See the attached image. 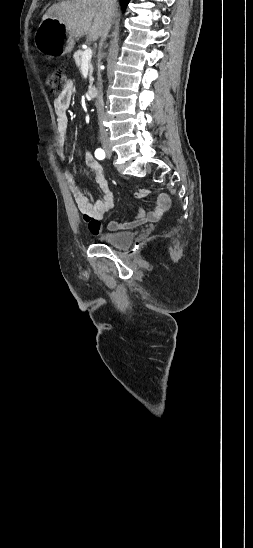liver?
<instances>
[{"label":"liver","instance_id":"1","mask_svg":"<svg viewBox=\"0 0 253 548\" xmlns=\"http://www.w3.org/2000/svg\"><path fill=\"white\" fill-rule=\"evenodd\" d=\"M54 18L62 23L72 38L88 34L96 41L105 26V15L101 0H70L52 5L43 20Z\"/></svg>","mask_w":253,"mask_h":548}]
</instances>
